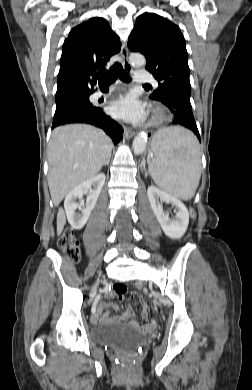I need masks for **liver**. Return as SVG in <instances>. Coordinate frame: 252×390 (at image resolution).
Wrapping results in <instances>:
<instances>
[{"instance_id":"6515ba94","label":"liver","mask_w":252,"mask_h":390,"mask_svg":"<svg viewBox=\"0 0 252 390\" xmlns=\"http://www.w3.org/2000/svg\"><path fill=\"white\" fill-rule=\"evenodd\" d=\"M112 141L100 129L85 124L60 126L53 130L48 146V185L58 206L81 183L93 178L111 157ZM66 223L63 211L57 215V234Z\"/></svg>"}]
</instances>
